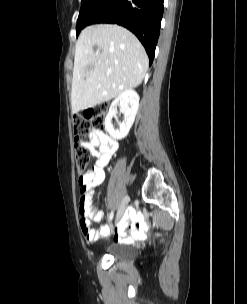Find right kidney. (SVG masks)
<instances>
[{
  "mask_svg": "<svg viewBox=\"0 0 247 304\" xmlns=\"http://www.w3.org/2000/svg\"><path fill=\"white\" fill-rule=\"evenodd\" d=\"M120 107V112L124 114V120L119 122V129H115L112 124V118L117 114V107ZM139 107V95L135 90H124L110 105L109 112L105 118V129L109 135L121 140L125 138L133 122Z\"/></svg>",
  "mask_w": 247,
  "mask_h": 304,
  "instance_id": "right-kidney-1",
  "label": "right kidney"
}]
</instances>
